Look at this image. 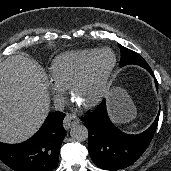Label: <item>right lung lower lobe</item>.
I'll return each instance as SVG.
<instances>
[{
    "label": "right lung lower lobe",
    "mask_w": 171,
    "mask_h": 171,
    "mask_svg": "<svg viewBox=\"0 0 171 171\" xmlns=\"http://www.w3.org/2000/svg\"><path fill=\"white\" fill-rule=\"evenodd\" d=\"M65 114L50 113L39 131L20 144L0 142V160L16 171H52L66 131L61 125Z\"/></svg>",
    "instance_id": "1"
}]
</instances>
